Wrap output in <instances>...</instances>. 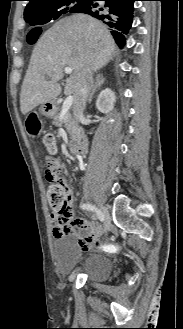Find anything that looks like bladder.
Masks as SVG:
<instances>
[{"label": "bladder", "instance_id": "obj_1", "mask_svg": "<svg viewBox=\"0 0 183 329\" xmlns=\"http://www.w3.org/2000/svg\"><path fill=\"white\" fill-rule=\"evenodd\" d=\"M57 267L64 275L86 277L92 282L104 281L112 270V262L104 254H92L81 265V250L73 235L64 234L57 238L53 245Z\"/></svg>", "mask_w": 183, "mask_h": 329}]
</instances>
